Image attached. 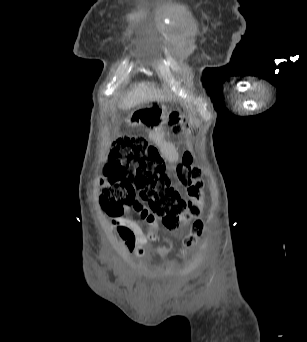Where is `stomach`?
Returning a JSON list of instances; mask_svg holds the SVG:
<instances>
[{"mask_svg": "<svg viewBox=\"0 0 307 342\" xmlns=\"http://www.w3.org/2000/svg\"><path fill=\"white\" fill-rule=\"evenodd\" d=\"M168 112L165 106L148 107L134 111L129 122L133 126L148 125L150 128H157L167 123Z\"/></svg>", "mask_w": 307, "mask_h": 342, "instance_id": "obj_1", "label": "stomach"}]
</instances>
